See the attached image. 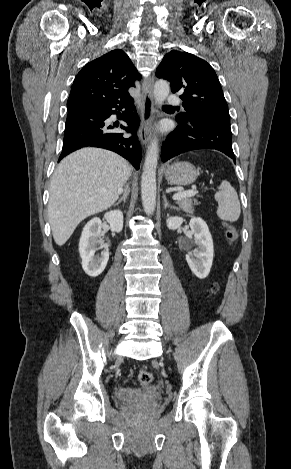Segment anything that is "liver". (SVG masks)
Returning <instances> with one entry per match:
<instances>
[{
  "mask_svg": "<svg viewBox=\"0 0 291 469\" xmlns=\"http://www.w3.org/2000/svg\"><path fill=\"white\" fill-rule=\"evenodd\" d=\"M131 174L118 154L83 148L57 166L50 184L48 217L53 238L63 246L85 218L110 208Z\"/></svg>",
  "mask_w": 291,
  "mask_h": 469,
  "instance_id": "1",
  "label": "liver"
}]
</instances>
